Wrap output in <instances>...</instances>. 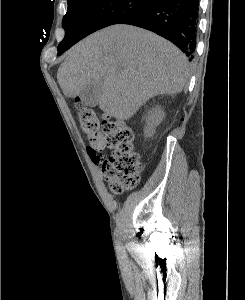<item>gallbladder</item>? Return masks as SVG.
<instances>
[{
    "instance_id": "gallbladder-1",
    "label": "gallbladder",
    "mask_w": 245,
    "mask_h": 300,
    "mask_svg": "<svg viewBox=\"0 0 245 300\" xmlns=\"http://www.w3.org/2000/svg\"><path fill=\"white\" fill-rule=\"evenodd\" d=\"M102 83V80L92 82L81 90L80 97L85 105L95 107L98 104V99L102 93Z\"/></svg>"
}]
</instances>
